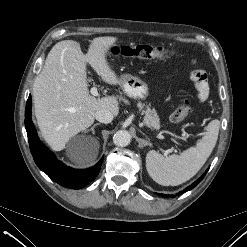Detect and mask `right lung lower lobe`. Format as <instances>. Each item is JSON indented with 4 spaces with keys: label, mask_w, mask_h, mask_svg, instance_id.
I'll return each instance as SVG.
<instances>
[{
    "label": "right lung lower lobe",
    "mask_w": 247,
    "mask_h": 247,
    "mask_svg": "<svg viewBox=\"0 0 247 247\" xmlns=\"http://www.w3.org/2000/svg\"><path fill=\"white\" fill-rule=\"evenodd\" d=\"M32 100L29 96L25 109V128L27 131L30 151L36 165L53 181L70 189H79L88 185L98 175L103 157L91 168L73 169L59 161L55 155L40 141L32 122Z\"/></svg>",
    "instance_id": "1"
}]
</instances>
